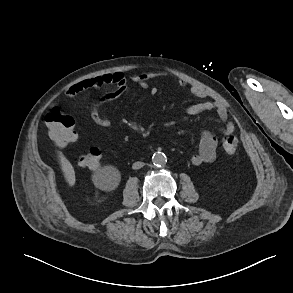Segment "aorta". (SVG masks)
Wrapping results in <instances>:
<instances>
[{"instance_id":"762f6f07","label":"aorta","mask_w":293,"mask_h":293,"mask_svg":"<svg viewBox=\"0 0 293 293\" xmlns=\"http://www.w3.org/2000/svg\"><path fill=\"white\" fill-rule=\"evenodd\" d=\"M166 161V156L162 152H155L152 156V162L156 166H162L166 163Z\"/></svg>"}]
</instances>
